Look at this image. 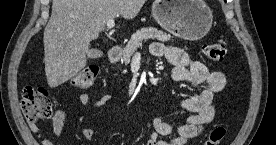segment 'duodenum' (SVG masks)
Returning a JSON list of instances; mask_svg holds the SVG:
<instances>
[{"label":"duodenum","mask_w":276,"mask_h":145,"mask_svg":"<svg viewBox=\"0 0 276 145\" xmlns=\"http://www.w3.org/2000/svg\"><path fill=\"white\" fill-rule=\"evenodd\" d=\"M122 53V49L119 46H112L107 51V60L109 62H115L119 60Z\"/></svg>","instance_id":"obj_1"}]
</instances>
